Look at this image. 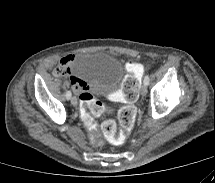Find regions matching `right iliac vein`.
Instances as JSON below:
<instances>
[{
  "label": "right iliac vein",
  "instance_id": "obj_1",
  "mask_svg": "<svg viewBox=\"0 0 215 183\" xmlns=\"http://www.w3.org/2000/svg\"><path fill=\"white\" fill-rule=\"evenodd\" d=\"M71 104L76 106L78 104L77 98L76 97H72L71 98Z\"/></svg>",
  "mask_w": 215,
  "mask_h": 183
}]
</instances>
